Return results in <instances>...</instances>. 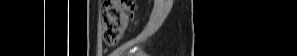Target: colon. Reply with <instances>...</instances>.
I'll use <instances>...</instances> for the list:
<instances>
[{"mask_svg":"<svg viewBox=\"0 0 297 56\" xmlns=\"http://www.w3.org/2000/svg\"><path fill=\"white\" fill-rule=\"evenodd\" d=\"M135 1L107 0L101 7L103 40L109 46L116 45L135 16Z\"/></svg>","mask_w":297,"mask_h":56,"instance_id":"obj_1","label":"colon"}]
</instances>
